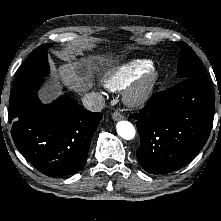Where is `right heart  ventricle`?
Segmentation results:
<instances>
[{
    "label": "right heart ventricle",
    "instance_id": "e07e8e85",
    "mask_svg": "<svg viewBox=\"0 0 221 221\" xmlns=\"http://www.w3.org/2000/svg\"><path fill=\"white\" fill-rule=\"evenodd\" d=\"M151 68V62L147 60H134L109 70L103 77L102 83L111 91H118Z\"/></svg>",
    "mask_w": 221,
    "mask_h": 221
}]
</instances>
